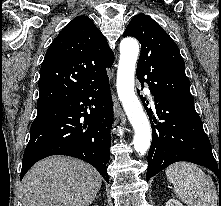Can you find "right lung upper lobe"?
<instances>
[{
	"label": "right lung upper lobe",
	"mask_w": 221,
	"mask_h": 206,
	"mask_svg": "<svg viewBox=\"0 0 221 206\" xmlns=\"http://www.w3.org/2000/svg\"><path fill=\"white\" fill-rule=\"evenodd\" d=\"M113 61V51L93 21L76 17L46 52L38 83V109L74 98L105 79Z\"/></svg>",
	"instance_id": "obj_1"
}]
</instances>
